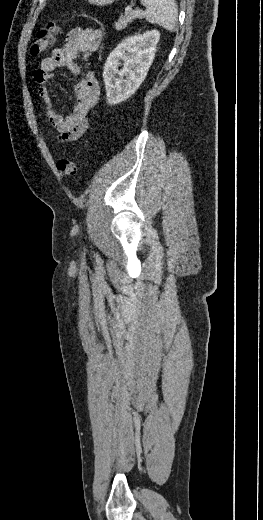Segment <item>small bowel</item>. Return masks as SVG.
Masks as SVG:
<instances>
[{"label":"small bowel","mask_w":263,"mask_h":520,"mask_svg":"<svg viewBox=\"0 0 263 520\" xmlns=\"http://www.w3.org/2000/svg\"><path fill=\"white\" fill-rule=\"evenodd\" d=\"M103 34L99 29L76 27L69 31L64 43L55 48L51 55L41 60L33 77L38 84V94L42 101V114L46 123L58 133L61 142H72L83 137L89 128L88 112L99 98V82L88 72L74 85L76 103L71 112L62 116L54 108L49 84L53 72L66 68L73 75H81V67L75 62L79 54L88 56L96 52L102 42Z\"/></svg>","instance_id":"obj_1"}]
</instances>
